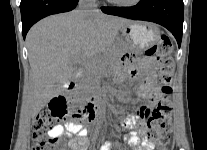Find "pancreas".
Returning a JSON list of instances; mask_svg holds the SVG:
<instances>
[{
  "label": "pancreas",
  "instance_id": "cf45deb5",
  "mask_svg": "<svg viewBox=\"0 0 207 150\" xmlns=\"http://www.w3.org/2000/svg\"><path fill=\"white\" fill-rule=\"evenodd\" d=\"M117 58L116 52H108L104 56L96 58V62L89 66L81 81V88L85 91H91L98 86L102 72L106 68H111Z\"/></svg>",
  "mask_w": 207,
  "mask_h": 150
}]
</instances>
